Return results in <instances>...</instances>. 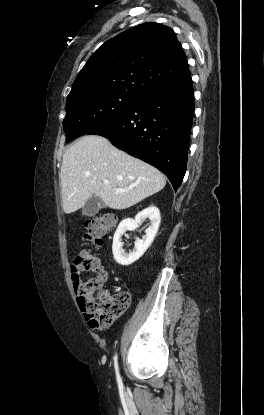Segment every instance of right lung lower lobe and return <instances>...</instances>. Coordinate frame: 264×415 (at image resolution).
I'll list each match as a JSON object with an SVG mask.
<instances>
[{
    "mask_svg": "<svg viewBox=\"0 0 264 415\" xmlns=\"http://www.w3.org/2000/svg\"><path fill=\"white\" fill-rule=\"evenodd\" d=\"M194 115L191 75L143 95L128 111L87 135H100L117 148L162 171L176 190L187 167Z\"/></svg>",
    "mask_w": 264,
    "mask_h": 415,
    "instance_id": "right-lung-lower-lobe-1",
    "label": "right lung lower lobe"
}]
</instances>
